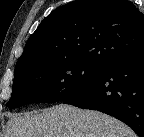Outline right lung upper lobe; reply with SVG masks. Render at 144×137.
<instances>
[{
	"instance_id": "obj_1",
	"label": "right lung upper lobe",
	"mask_w": 144,
	"mask_h": 137,
	"mask_svg": "<svg viewBox=\"0 0 144 137\" xmlns=\"http://www.w3.org/2000/svg\"><path fill=\"white\" fill-rule=\"evenodd\" d=\"M144 48V14L128 0H76L45 18L16 67L81 59L103 67Z\"/></svg>"
}]
</instances>
